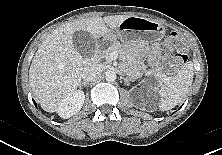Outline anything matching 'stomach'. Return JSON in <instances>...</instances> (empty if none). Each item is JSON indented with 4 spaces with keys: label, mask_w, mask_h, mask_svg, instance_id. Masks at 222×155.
I'll use <instances>...</instances> for the list:
<instances>
[{
    "label": "stomach",
    "mask_w": 222,
    "mask_h": 155,
    "mask_svg": "<svg viewBox=\"0 0 222 155\" xmlns=\"http://www.w3.org/2000/svg\"><path fill=\"white\" fill-rule=\"evenodd\" d=\"M165 28L158 22L131 16L123 21L114 31L103 37L104 41L117 43L120 39L129 45H140L142 43L155 42L164 37Z\"/></svg>",
    "instance_id": "1"
}]
</instances>
